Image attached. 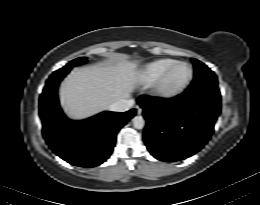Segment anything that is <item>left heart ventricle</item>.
Returning <instances> with one entry per match:
<instances>
[{
  "label": "left heart ventricle",
  "mask_w": 260,
  "mask_h": 205,
  "mask_svg": "<svg viewBox=\"0 0 260 205\" xmlns=\"http://www.w3.org/2000/svg\"><path fill=\"white\" fill-rule=\"evenodd\" d=\"M189 75V70L185 65L177 66L169 75L167 79V86L174 88L183 84Z\"/></svg>",
  "instance_id": "1"
}]
</instances>
